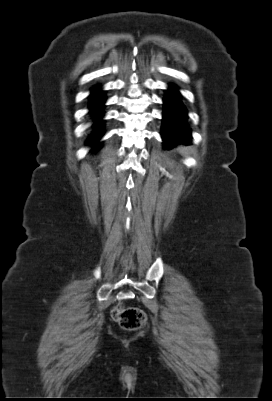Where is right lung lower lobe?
Segmentation results:
<instances>
[{
  "label": "right lung lower lobe",
  "mask_w": 272,
  "mask_h": 401,
  "mask_svg": "<svg viewBox=\"0 0 272 401\" xmlns=\"http://www.w3.org/2000/svg\"><path fill=\"white\" fill-rule=\"evenodd\" d=\"M90 112L93 113L95 123L94 127L96 128V131L93 133L91 136L89 143H94L96 142L101 134H102V124L103 121L100 120L102 117V110H103V103H104V94L102 91H99L98 88H95L92 90V94L90 95Z\"/></svg>",
  "instance_id": "98d812e1"
}]
</instances>
